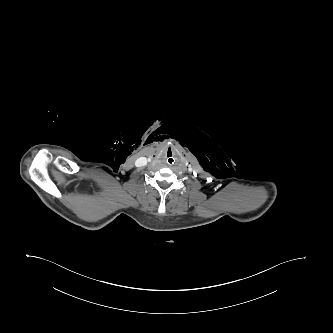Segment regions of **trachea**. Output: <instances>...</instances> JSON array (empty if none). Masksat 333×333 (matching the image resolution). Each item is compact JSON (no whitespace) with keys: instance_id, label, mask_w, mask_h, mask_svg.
<instances>
[{"instance_id":"1","label":"trachea","mask_w":333,"mask_h":333,"mask_svg":"<svg viewBox=\"0 0 333 333\" xmlns=\"http://www.w3.org/2000/svg\"><path fill=\"white\" fill-rule=\"evenodd\" d=\"M177 160H178V157L173 152H169V153L165 154V156H164L165 163H167L169 165L175 164L177 162Z\"/></svg>"}]
</instances>
